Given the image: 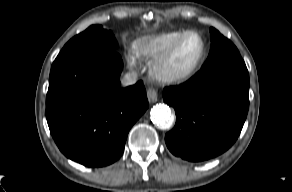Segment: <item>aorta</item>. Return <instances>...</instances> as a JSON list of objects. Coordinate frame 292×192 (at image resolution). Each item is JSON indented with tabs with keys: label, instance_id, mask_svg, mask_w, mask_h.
<instances>
[{
	"label": "aorta",
	"instance_id": "1",
	"mask_svg": "<svg viewBox=\"0 0 292 192\" xmlns=\"http://www.w3.org/2000/svg\"><path fill=\"white\" fill-rule=\"evenodd\" d=\"M150 118L160 129H168L172 126L171 110L165 104H157L151 108Z\"/></svg>",
	"mask_w": 292,
	"mask_h": 192
}]
</instances>
